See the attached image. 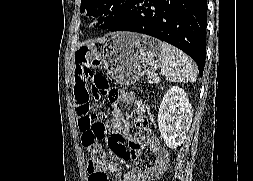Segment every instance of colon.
<instances>
[{
	"instance_id": "obj_1",
	"label": "colon",
	"mask_w": 253,
	"mask_h": 181,
	"mask_svg": "<svg viewBox=\"0 0 253 181\" xmlns=\"http://www.w3.org/2000/svg\"><path fill=\"white\" fill-rule=\"evenodd\" d=\"M101 47L96 41H87L76 53V60L89 70L87 91L81 99L80 114L78 116L79 128L82 134V142L88 149V162L99 164L104 160V151L101 140L106 133L105 125L92 112V105L99 101L113 102L118 99L119 92L112 86L108 79L101 74H94L91 67L97 64Z\"/></svg>"
}]
</instances>
